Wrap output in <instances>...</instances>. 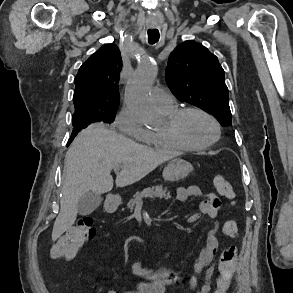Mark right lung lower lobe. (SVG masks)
Wrapping results in <instances>:
<instances>
[{"label": "right lung lower lobe", "mask_w": 293, "mask_h": 293, "mask_svg": "<svg viewBox=\"0 0 293 293\" xmlns=\"http://www.w3.org/2000/svg\"><path fill=\"white\" fill-rule=\"evenodd\" d=\"M81 128H74L71 134V137L67 143V146H69V144L73 141V139L75 138V136L81 131Z\"/></svg>", "instance_id": "98d812e1"}]
</instances>
